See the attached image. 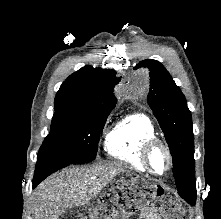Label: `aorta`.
<instances>
[{
	"instance_id": "aorta-1",
	"label": "aorta",
	"mask_w": 221,
	"mask_h": 219,
	"mask_svg": "<svg viewBox=\"0 0 221 219\" xmlns=\"http://www.w3.org/2000/svg\"><path fill=\"white\" fill-rule=\"evenodd\" d=\"M136 82L141 85L145 86L148 83V73L147 71H141L136 76Z\"/></svg>"
}]
</instances>
